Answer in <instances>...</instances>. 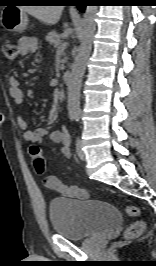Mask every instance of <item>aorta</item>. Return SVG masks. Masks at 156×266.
Returning <instances> with one entry per match:
<instances>
[{
	"label": "aorta",
	"mask_w": 156,
	"mask_h": 266,
	"mask_svg": "<svg viewBox=\"0 0 156 266\" xmlns=\"http://www.w3.org/2000/svg\"><path fill=\"white\" fill-rule=\"evenodd\" d=\"M97 6H87L83 19V36L69 76L68 87V113L71 117L80 114V89L82 77L85 73L87 61L92 50V42L96 30L95 17Z\"/></svg>",
	"instance_id": "1"
}]
</instances>
